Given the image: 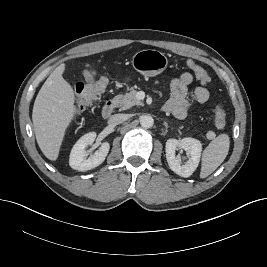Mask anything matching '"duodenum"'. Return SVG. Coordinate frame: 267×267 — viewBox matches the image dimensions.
Masks as SVG:
<instances>
[{
  "mask_svg": "<svg viewBox=\"0 0 267 267\" xmlns=\"http://www.w3.org/2000/svg\"><path fill=\"white\" fill-rule=\"evenodd\" d=\"M115 108H116V101L114 99H109L108 101H106V103L102 108L103 117L109 118L113 114Z\"/></svg>",
  "mask_w": 267,
  "mask_h": 267,
  "instance_id": "obj_1",
  "label": "duodenum"
}]
</instances>
